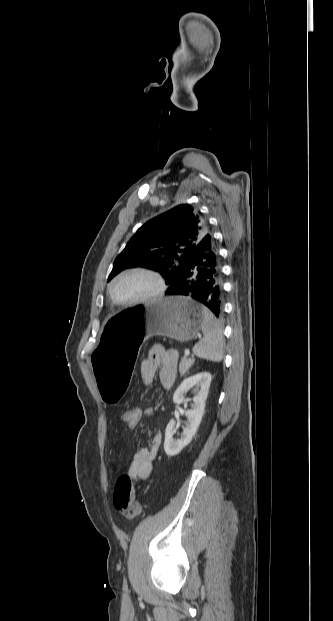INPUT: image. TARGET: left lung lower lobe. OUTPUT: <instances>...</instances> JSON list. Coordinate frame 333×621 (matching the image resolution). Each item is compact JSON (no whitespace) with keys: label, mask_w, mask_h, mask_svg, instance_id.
I'll return each mask as SVG.
<instances>
[{"label":"left lung lower lobe","mask_w":333,"mask_h":621,"mask_svg":"<svg viewBox=\"0 0 333 621\" xmlns=\"http://www.w3.org/2000/svg\"><path fill=\"white\" fill-rule=\"evenodd\" d=\"M222 282L220 255L208 233L199 241L180 278L168 288L166 294L189 296L218 317L223 311Z\"/></svg>","instance_id":"1"}]
</instances>
